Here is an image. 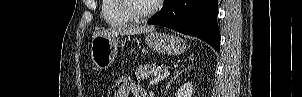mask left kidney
I'll use <instances>...</instances> for the list:
<instances>
[{
  "instance_id": "left-kidney-1",
  "label": "left kidney",
  "mask_w": 302,
  "mask_h": 97,
  "mask_svg": "<svg viewBox=\"0 0 302 97\" xmlns=\"http://www.w3.org/2000/svg\"><path fill=\"white\" fill-rule=\"evenodd\" d=\"M194 93V86L192 83L187 82L179 87L176 97H192Z\"/></svg>"
}]
</instances>
